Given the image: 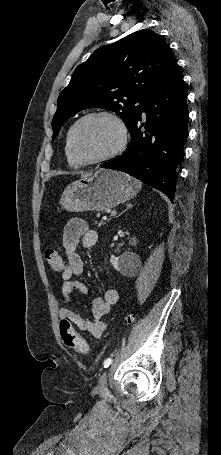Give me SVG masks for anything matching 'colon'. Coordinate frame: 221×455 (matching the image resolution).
<instances>
[{
    "mask_svg": "<svg viewBox=\"0 0 221 455\" xmlns=\"http://www.w3.org/2000/svg\"><path fill=\"white\" fill-rule=\"evenodd\" d=\"M45 259L50 268L56 272H63L67 267L66 261L55 249H47ZM132 319L131 316L126 317L127 322H131ZM60 335L66 346L82 354L89 352L87 341L76 332L72 324L66 319L60 322Z\"/></svg>",
    "mask_w": 221,
    "mask_h": 455,
    "instance_id": "1",
    "label": "colon"
}]
</instances>
